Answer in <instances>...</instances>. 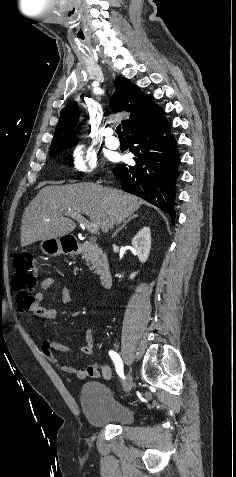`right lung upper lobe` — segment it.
Wrapping results in <instances>:
<instances>
[{
  "label": "right lung upper lobe",
  "mask_w": 236,
  "mask_h": 477,
  "mask_svg": "<svg viewBox=\"0 0 236 477\" xmlns=\"http://www.w3.org/2000/svg\"><path fill=\"white\" fill-rule=\"evenodd\" d=\"M115 88L116 91L110 100L112 109L116 112L127 111L130 113L129 119L122 121L125 136L137 128L154 124L162 117L161 108L153 103L152 96L144 94L139 87L133 85L128 79L118 77L115 81ZM78 117L76 103H69L64 107L50 151L67 149L77 144L78 141L73 127Z\"/></svg>",
  "instance_id": "right-lung-upper-lobe-1"
}]
</instances>
